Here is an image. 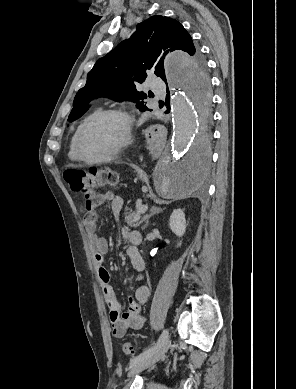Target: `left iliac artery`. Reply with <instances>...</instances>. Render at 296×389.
<instances>
[{"instance_id":"1","label":"left iliac artery","mask_w":296,"mask_h":389,"mask_svg":"<svg viewBox=\"0 0 296 389\" xmlns=\"http://www.w3.org/2000/svg\"><path fill=\"white\" fill-rule=\"evenodd\" d=\"M168 337V331L167 330H163L162 334L160 335L158 341L153 345L151 346L150 348H147L145 349L141 354H139L137 357L133 358L131 361H130V366H133L135 365L136 363H138L139 361H141L142 359L144 358H147L149 357L150 355H152L157 347Z\"/></svg>"}]
</instances>
